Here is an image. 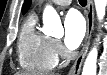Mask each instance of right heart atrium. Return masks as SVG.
<instances>
[{
    "label": "right heart atrium",
    "instance_id": "right-heart-atrium-1",
    "mask_svg": "<svg viewBox=\"0 0 107 75\" xmlns=\"http://www.w3.org/2000/svg\"><path fill=\"white\" fill-rule=\"evenodd\" d=\"M52 47H53V51L57 58L63 56L64 50H63V47H62L60 41L52 40Z\"/></svg>",
    "mask_w": 107,
    "mask_h": 75
}]
</instances>
